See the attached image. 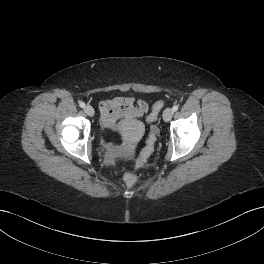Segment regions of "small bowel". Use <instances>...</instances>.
<instances>
[{"mask_svg":"<svg viewBox=\"0 0 264 264\" xmlns=\"http://www.w3.org/2000/svg\"><path fill=\"white\" fill-rule=\"evenodd\" d=\"M101 124L109 129L119 131L129 122L143 118L149 110V105L144 100L133 97L117 96L105 99L98 104ZM123 119L120 125L119 120Z\"/></svg>","mask_w":264,"mask_h":264,"instance_id":"small-bowel-1","label":"small bowel"}]
</instances>
